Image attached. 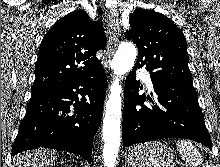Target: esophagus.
Returning <instances> with one entry per match:
<instances>
[{
	"instance_id": "34e87169",
	"label": "esophagus",
	"mask_w": 220,
	"mask_h": 167,
	"mask_svg": "<svg viewBox=\"0 0 220 167\" xmlns=\"http://www.w3.org/2000/svg\"><path fill=\"white\" fill-rule=\"evenodd\" d=\"M105 17H106V23L109 26L110 39L107 45V52L104 57V65L106 67H109V63L115 53L118 44V37L120 35V26L118 22L117 13L114 9L108 10Z\"/></svg>"
}]
</instances>
